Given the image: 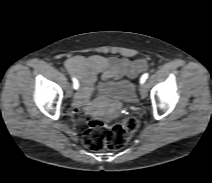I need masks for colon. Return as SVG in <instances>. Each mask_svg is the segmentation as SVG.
Here are the masks:
<instances>
[{
  "label": "colon",
  "mask_w": 212,
  "mask_h": 183,
  "mask_svg": "<svg viewBox=\"0 0 212 183\" xmlns=\"http://www.w3.org/2000/svg\"><path fill=\"white\" fill-rule=\"evenodd\" d=\"M138 128L139 121L133 116L126 117L120 123L113 125H108L100 119H93L88 122L83 142L92 151H100L104 148L118 150L127 144Z\"/></svg>",
  "instance_id": "obj_1"
}]
</instances>
